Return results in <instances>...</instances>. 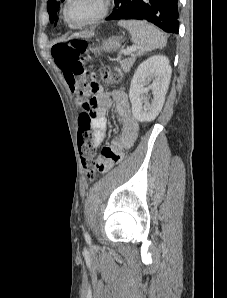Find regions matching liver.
I'll return each mask as SVG.
<instances>
[{"label":"liver","instance_id":"1","mask_svg":"<svg viewBox=\"0 0 227 298\" xmlns=\"http://www.w3.org/2000/svg\"><path fill=\"white\" fill-rule=\"evenodd\" d=\"M93 34L91 33V34H89V36H92ZM74 37H86V36H83V35H80V34H74V35H72L71 37H69L68 39H72V38H74Z\"/></svg>","mask_w":227,"mask_h":298}]
</instances>
